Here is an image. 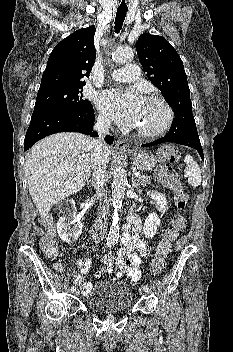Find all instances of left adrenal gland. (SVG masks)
I'll return each instance as SVG.
<instances>
[{"label": "left adrenal gland", "mask_w": 233, "mask_h": 352, "mask_svg": "<svg viewBox=\"0 0 233 352\" xmlns=\"http://www.w3.org/2000/svg\"><path fill=\"white\" fill-rule=\"evenodd\" d=\"M132 187L138 189V184L136 183L135 177L132 175Z\"/></svg>", "instance_id": "left-adrenal-gland-1"}]
</instances>
